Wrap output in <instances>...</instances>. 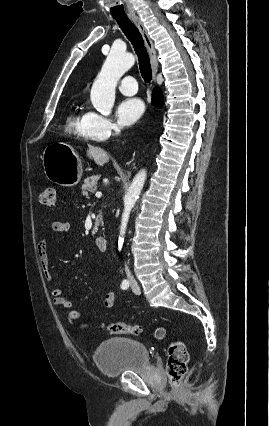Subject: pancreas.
<instances>
[{
	"label": "pancreas",
	"mask_w": 269,
	"mask_h": 426,
	"mask_svg": "<svg viewBox=\"0 0 269 426\" xmlns=\"http://www.w3.org/2000/svg\"><path fill=\"white\" fill-rule=\"evenodd\" d=\"M99 179H100L99 175H94L84 180V184L82 185V194L86 196V198H89L90 194L95 193V191L97 190V182ZM101 222H102V215L100 213L96 218L95 226L92 230L93 235L98 232V226L100 225Z\"/></svg>",
	"instance_id": "pancreas-1"
}]
</instances>
